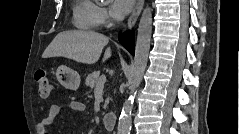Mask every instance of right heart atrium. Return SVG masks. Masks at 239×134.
<instances>
[{
  "instance_id": "d8ad5b80",
  "label": "right heart atrium",
  "mask_w": 239,
  "mask_h": 134,
  "mask_svg": "<svg viewBox=\"0 0 239 134\" xmlns=\"http://www.w3.org/2000/svg\"><path fill=\"white\" fill-rule=\"evenodd\" d=\"M109 15L108 11L103 6H97L96 8V22L97 25H104L108 22Z\"/></svg>"
}]
</instances>
